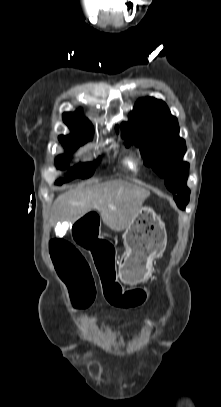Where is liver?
Returning <instances> with one entry per match:
<instances>
[{
    "mask_svg": "<svg viewBox=\"0 0 221 407\" xmlns=\"http://www.w3.org/2000/svg\"><path fill=\"white\" fill-rule=\"evenodd\" d=\"M150 192L124 181L80 187L61 194L54 202L58 220L76 222L93 208L111 230L126 229L138 215Z\"/></svg>",
    "mask_w": 221,
    "mask_h": 407,
    "instance_id": "obj_1",
    "label": "liver"
}]
</instances>
